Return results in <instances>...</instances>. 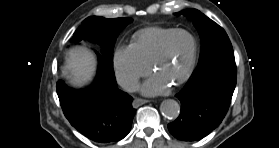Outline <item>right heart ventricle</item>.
Masks as SVG:
<instances>
[{"instance_id":"e07e8e85","label":"right heart ventricle","mask_w":279,"mask_h":148,"mask_svg":"<svg viewBox=\"0 0 279 148\" xmlns=\"http://www.w3.org/2000/svg\"><path fill=\"white\" fill-rule=\"evenodd\" d=\"M173 28L149 27L139 31L131 44L137 55L149 66L164 38Z\"/></svg>"}]
</instances>
